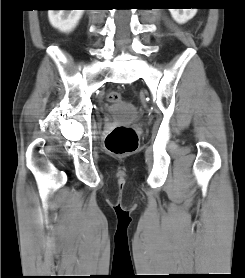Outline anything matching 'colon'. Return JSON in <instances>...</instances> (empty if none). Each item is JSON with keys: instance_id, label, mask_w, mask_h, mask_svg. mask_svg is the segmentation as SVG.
<instances>
[{"instance_id": "obj_1", "label": "colon", "mask_w": 245, "mask_h": 278, "mask_svg": "<svg viewBox=\"0 0 245 278\" xmlns=\"http://www.w3.org/2000/svg\"><path fill=\"white\" fill-rule=\"evenodd\" d=\"M108 100L116 102L120 100L118 93L108 94ZM105 147L109 153L116 156L134 153L138 148V137L132 127L119 125L113 128L107 135Z\"/></svg>"}]
</instances>
